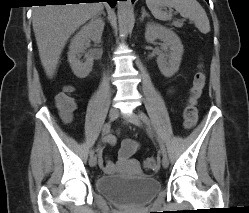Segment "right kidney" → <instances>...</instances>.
<instances>
[{
	"label": "right kidney",
	"mask_w": 249,
	"mask_h": 213,
	"mask_svg": "<svg viewBox=\"0 0 249 213\" xmlns=\"http://www.w3.org/2000/svg\"><path fill=\"white\" fill-rule=\"evenodd\" d=\"M104 25L105 23L101 18L94 17L71 39L68 61L73 73L78 78H85L92 71L93 58L90 55H85L84 62L80 58L85 53L90 40L97 43L101 41Z\"/></svg>",
	"instance_id": "1"
}]
</instances>
